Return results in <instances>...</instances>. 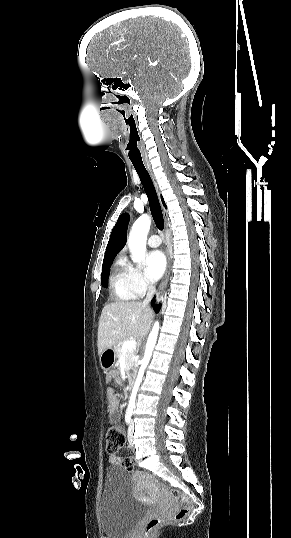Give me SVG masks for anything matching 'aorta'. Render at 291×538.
I'll use <instances>...</instances> for the list:
<instances>
[{"label": "aorta", "mask_w": 291, "mask_h": 538, "mask_svg": "<svg viewBox=\"0 0 291 538\" xmlns=\"http://www.w3.org/2000/svg\"><path fill=\"white\" fill-rule=\"evenodd\" d=\"M150 225H151V220L148 216H145V215L140 216L134 222L131 233L128 237V245L132 254V260L138 264H141V262L145 258L146 239H147V234H148ZM158 332H159V322L156 321L147 339L144 357L140 362L141 365L138 371V375H137L134 387L132 389V392L129 398L127 413H132L135 408L136 395L138 392V388L142 381L145 369L152 356L154 347L156 345Z\"/></svg>", "instance_id": "obj_1"}]
</instances>
